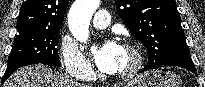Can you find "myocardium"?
I'll list each match as a JSON object with an SVG mask.
<instances>
[{"instance_id": "1", "label": "myocardium", "mask_w": 205, "mask_h": 87, "mask_svg": "<svg viewBox=\"0 0 205 87\" xmlns=\"http://www.w3.org/2000/svg\"><path fill=\"white\" fill-rule=\"evenodd\" d=\"M123 48L133 54L134 60L130 68L125 71L118 72L115 76L120 79H129L134 77L141 70L144 63V56L141 48L137 44L125 43Z\"/></svg>"}]
</instances>
